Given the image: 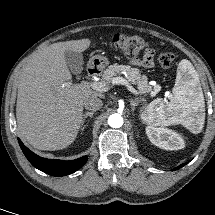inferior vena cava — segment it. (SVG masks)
I'll list each match as a JSON object with an SVG mask.
<instances>
[{
  "label": "inferior vena cava",
  "mask_w": 215,
  "mask_h": 215,
  "mask_svg": "<svg viewBox=\"0 0 215 215\" xmlns=\"http://www.w3.org/2000/svg\"><path fill=\"white\" fill-rule=\"evenodd\" d=\"M85 109L90 111H97L103 106V102L97 96H88L83 100Z\"/></svg>",
  "instance_id": "1"
}]
</instances>
